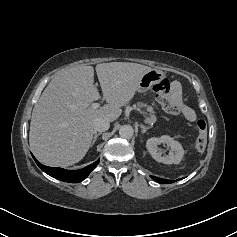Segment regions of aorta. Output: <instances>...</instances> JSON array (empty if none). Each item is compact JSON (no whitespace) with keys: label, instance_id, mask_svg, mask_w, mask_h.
<instances>
[{"label":"aorta","instance_id":"762f6f07","mask_svg":"<svg viewBox=\"0 0 237 237\" xmlns=\"http://www.w3.org/2000/svg\"><path fill=\"white\" fill-rule=\"evenodd\" d=\"M134 134L133 127L130 125H123L119 129V135L120 137L124 139H130Z\"/></svg>","mask_w":237,"mask_h":237}]
</instances>
